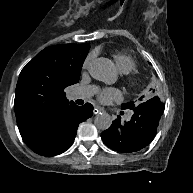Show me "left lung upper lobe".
I'll list each match as a JSON object with an SVG mask.
<instances>
[{"instance_id": "obj_1", "label": "left lung upper lobe", "mask_w": 193, "mask_h": 193, "mask_svg": "<svg viewBox=\"0 0 193 193\" xmlns=\"http://www.w3.org/2000/svg\"><path fill=\"white\" fill-rule=\"evenodd\" d=\"M143 97H141L139 100H142ZM154 101H156V99H158L157 97H154ZM122 106H127L129 108H133L134 107V104L133 102H130V103H126V104H123Z\"/></svg>"}]
</instances>
